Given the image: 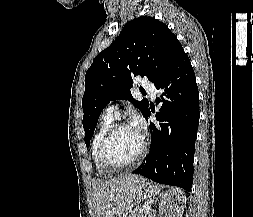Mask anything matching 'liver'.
<instances>
[{
    "label": "liver",
    "mask_w": 253,
    "mask_h": 217,
    "mask_svg": "<svg viewBox=\"0 0 253 217\" xmlns=\"http://www.w3.org/2000/svg\"><path fill=\"white\" fill-rule=\"evenodd\" d=\"M145 179L126 175L93 184L92 206L95 217H122L134 200V189Z\"/></svg>",
    "instance_id": "liver-1"
}]
</instances>
